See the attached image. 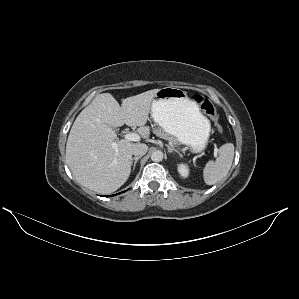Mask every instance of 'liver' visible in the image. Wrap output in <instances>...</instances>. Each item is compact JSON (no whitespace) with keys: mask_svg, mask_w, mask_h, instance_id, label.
<instances>
[{"mask_svg":"<svg viewBox=\"0 0 299 299\" xmlns=\"http://www.w3.org/2000/svg\"><path fill=\"white\" fill-rule=\"evenodd\" d=\"M159 89L123 99L121 106L110 93L97 95L75 119L66 144V162L75 179L97 193L109 194L128 179L133 148L139 143L116 140L111 127H139L147 139L146 123ZM117 144V151L113 143Z\"/></svg>","mask_w":299,"mask_h":299,"instance_id":"1","label":"liver"}]
</instances>
